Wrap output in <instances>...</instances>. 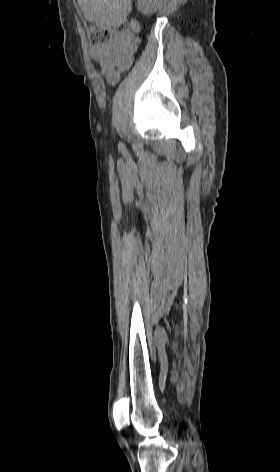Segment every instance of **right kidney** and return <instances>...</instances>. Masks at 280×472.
<instances>
[{
	"label": "right kidney",
	"instance_id": "obj_1",
	"mask_svg": "<svg viewBox=\"0 0 280 472\" xmlns=\"http://www.w3.org/2000/svg\"><path fill=\"white\" fill-rule=\"evenodd\" d=\"M138 10L143 14L154 12L160 5V0H137Z\"/></svg>",
	"mask_w": 280,
	"mask_h": 472
}]
</instances>
